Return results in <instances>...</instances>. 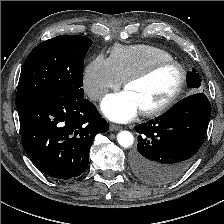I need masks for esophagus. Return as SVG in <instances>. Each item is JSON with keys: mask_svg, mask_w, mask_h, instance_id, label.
Instances as JSON below:
<instances>
[{"mask_svg": "<svg viewBox=\"0 0 224 224\" xmlns=\"http://www.w3.org/2000/svg\"><path fill=\"white\" fill-rule=\"evenodd\" d=\"M109 129H110V131H118V130L121 129V126L115 125V124H111Z\"/></svg>", "mask_w": 224, "mask_h": 224, "instance_id": "esophagus-1", "label": "esophagus"}]
</instances>
